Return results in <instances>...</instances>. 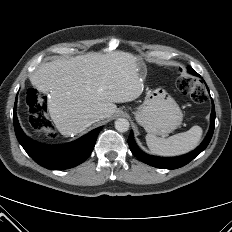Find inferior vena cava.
Returning a JSON list of instances; mask_svg holds the SVG:
<instances>
[{"instance_id": "1", "label": "inferior vena cava", "mask_w": 232, "mask_h": 232, "mask_svg": "<svg viewBox=\"0 0 232 232\" xmlns=\"http://www.w3.org/2000/svg\"><path fill=\"white\" fill-rule=\"evenodd\" d=\"M90 118H91V122H96V121H98L99 119H101L102 116L99 115V114H92Z\"/></svg>"}]
</instances>
